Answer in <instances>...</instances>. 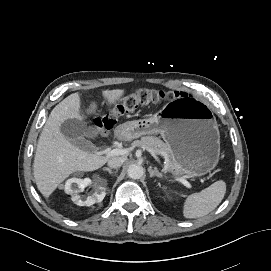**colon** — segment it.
<instances>
[{"label":"colon","mask_w":271,"mask_h":271,"mask_svg":"<svg viewBox=\"0 0 271 271\" xmlns=\"http://www.w3.org/2000/svg\"><path fill=\"white\" fill-rule=\"evenodd\" d=\"M172 97L171 93L155 89H140L126 98L112 112L103 118L95 119V128L102 135L109 129L117 115L132 111L135 108L142 107L151 103H158Z\"/></svg>","instance_id":"obj_1"}]
</instances>
